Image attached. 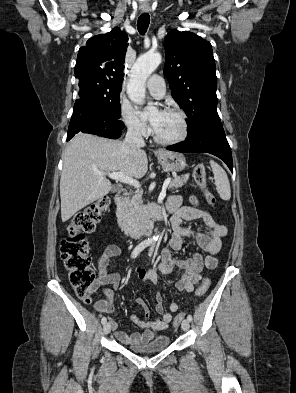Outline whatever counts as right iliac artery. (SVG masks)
<instances>
[{"label":"right iliac artery","mask_w":296,"mask_h":393,"mask_svg":"<svg viewBox=\"0 0 296 393\" xmlns=\"http://www.w3.org/2000/svg\"><path fill=\"white\" fill-rule=\"evenodd\" d=\"M150 243H151L150 241L146 240V241H143V242H141L140 244H138V245L135 247V249L133 250L131 257H132V258H136V257L140 254L141 251H143L147 246L150 245ZM106 321H107L106 317H103V318L101 319V323H102V324H105Z\"/></svg>","instance_id":"1"}]
</instances>
